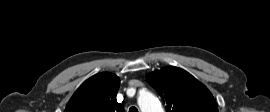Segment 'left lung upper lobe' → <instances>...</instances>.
Returning <instances> with one entry per match:
<instances>
[{
  "instance_id": "5c2ea615",
  "label": "left lung upper lobe",
  "mask_w": 270,
  "mask_h": 112,
  "mask_svg": "<svg viewBox=\"0 0 270 112\" xmlns=\"http://www.w3.org/2000/svg\"><path fill=\"white\" fill-rule=\"evenodd\" d=\"M147 81L166 103V112H218L211 92L181 68L164 67L149 73Z\"/></svg>"
}]
</instances>
